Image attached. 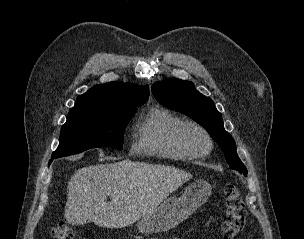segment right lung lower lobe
I'll return each mask as SVG.
<instances>
[{"mask_svg": "<svg viewBox=\"0 0 304 239\" xmlns=\"http://www.w3.org/2000/svg\"><path fill=\"white\" fill-rule=\"evenodd\" d=\"M53 159H54V158H52V159L49 161V163H51Z\"/></svg>", "mask_w": 304, "mask_h": 239, "instance_id": "right-lung-lower-lobe-1", "label": "right lung lower lobe"}]
</instances>
